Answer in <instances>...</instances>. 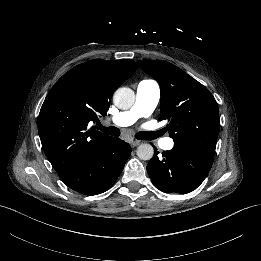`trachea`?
I'll list each match as a JSON object with an SVG mask.
<instances>
[{
    "mask_svg": "<svg viewBox=\"0 0 261 261\" xmlns=\"http://www.w3.org/2000/svg\"><path fill=\"white\" fill-rule=\"evenodd\" d=\"M96 128L101 130L107 135L118 137L120 135V130L117 127L110 126L104 127L99 122L96 124ZM134 137L138 140H152L153 133L152 132H138L134 135Z\"/></svg>",
    "mask_w": 261,
    "mask_h": 261,
    "instance_id": "trachea-1",
    "label": "trachea"
}]
</instances>
